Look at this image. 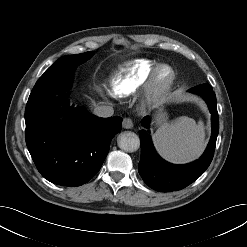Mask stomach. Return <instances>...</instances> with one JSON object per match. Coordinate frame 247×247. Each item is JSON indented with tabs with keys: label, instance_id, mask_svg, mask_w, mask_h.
<instances>
[{
	"label": "stomach",
	"instance_id": "1",
	"mask_svg": "<svg viewBox=\"0 0 247 247\" xmlns=\"http://www.w3.org/2000/svg\"><path fill=\"white\" fill-rule=\"evenodd\" d=\"M168 120V114L163 106V103H161L156 111L154 112V125L155 126H162L165 124Z\"/></svg>",
	"mask_w": 247,
	"mask_h": 247
}]
</instances>
